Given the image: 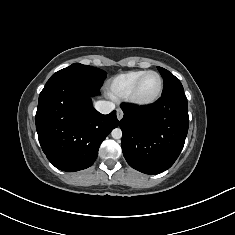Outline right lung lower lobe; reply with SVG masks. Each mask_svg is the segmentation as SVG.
Here are the masks:
<instances>
[{
    "instance_id": "1",
    "label": "right lung lower lobe",
    "mask_w": 235,
    "mask_h": 235,
    "mask_svg": "<svg viewBox=\"0 0 235 235\" xmlns=\"http://www.w3.org/2000/svg\"><path fill=\"white\" fill-rule=\"evenodd\" d=\"M99 89L78 82L46 85L39 95L36 129L43 152L58 169L91 166L107 135L119 125L116 111L103 115L92 107Z\"/></svg>"
}]
</instances>
